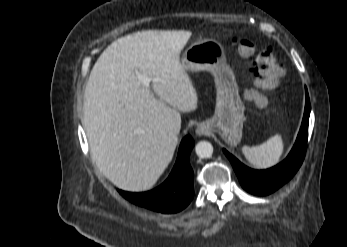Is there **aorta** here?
<instances>
[{
	"label": "aorta",
	"instance_id": "762f6f07",
	"mask_svg": "<svg viewBox=\"0 0 347 247\" xmlns=\"http://www.w3.org/2000/svg\"><path fill=\"white\" fill-rule=\"evenodd\" d=\"M195 152L200 158H210L213 154V146L208 141H200L195 147Z\"/></svg>",
	"mask_w": 347,
	"mask_h": 247
}]
</instances>
